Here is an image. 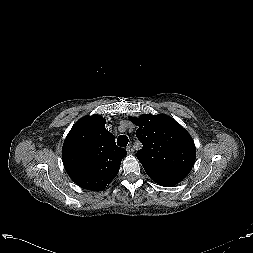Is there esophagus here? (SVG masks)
I'll return each instance as SVG.
<instances>
[{"label":"esophagus","instance_id":"34e87169","mask_svg":"<svg viewBox=\"0 0 253 253\" xmlns=\"http://www.w3.org/2000/svg\"><path fill=\"white\" fill-rule=\"evenodd\" d=\"M126 150L128 154H132L134 152V149L131 145L127 146Z\"/></svg>","mask_w":253,"mask_h":253}]
</instances>
